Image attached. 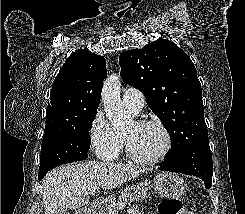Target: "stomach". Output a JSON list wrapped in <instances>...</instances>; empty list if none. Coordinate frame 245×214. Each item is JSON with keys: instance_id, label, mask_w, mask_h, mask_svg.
Here are the masks:
<instances>
[{"instance_id": "1", "label": "stomach", "mask_w": 245, "mask_h": 214, "mask_svg": "<svg viewBox=\"0 0 245 214\" xmlns=\"http://www.w3.org/2000/svg\"><path fill=\"white\" fill-rule=\"evenodd\" d=\"M154 189L167 199H179L187 190L184 180L174 173H160L154 178Z\"/></svg>"}]
</instances>
